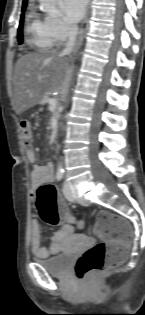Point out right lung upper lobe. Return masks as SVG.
I'll return each mask as SVG.
<instances>
[{
	"instance_id": "obj_1",
	"label": "right lung upper lobe",
	"mask_w": 145,
	"mask_h": 315,
	"mask_svg": "<svg viewBox=\"0 0 145 315\" xmlns=\"http://www.w3.org/2000/svg\"><path fill=\"white\" fill-rule=\"evenodd\" d=\"M26 4H27V0H23V5H22V7L26 6Z\"/></svg>"
}]
</instances>
